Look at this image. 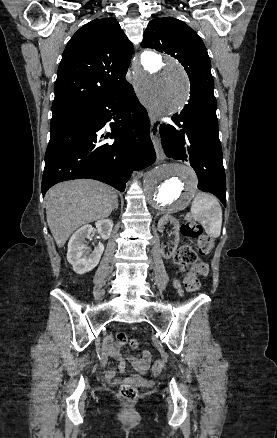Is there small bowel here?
<instances>
[{
  "mask_svg": "<svg viewBox=\"0 0 277 438\" xmlns=\"http://www.w3.org/2000/svg\"><path fill=\"white\" fill-rule=\"evenodd\" d=\"M176 288H180V284L178 281H175L174 283ZM115 341V338L113 336H110L108 338V341L104 342L103 347H104V352H103V356L102 358L105 359L106 358H110V357H116V359L119 361L120 363V369L124 370L125 366H124V357L123 360H121V357L118 354V350L117 349H123L124 348V343L123 342H117L115 344V346L113 345V342ZM150 361V353L148 351H143L140 355L138 356H131L130 357V362L132 363V365L134 366V368L139 372V373H143L149 364ZM100 366L101 367H106L107 366V361L106 360H101L100 361ZM106 377L110 380H114L116 378L115 372L110 370L106 372Z\"/></svg>",
  "mask_w": 277,
  "mask_h": 438,
  "instance_id": "c3829d8e",
  "label": "small bowel"
}]
</instances>
